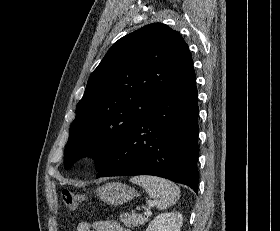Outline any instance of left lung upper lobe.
I'll use <instances>...</instances> for the list:
<instances>
[{
  "label": "left lung upper lobe",
  "mask_w": 280,
  "mask_h": 231,
  "mask_svg": "<svg viewBox=\"0 0 280 231\" xmlns=\"http://www.w3.org/2000/svg\"><path fill=\"white\" fill-rule=\"evenodd\" d=\"M194 73L181 35L162 23L119 39L90 75L76 107L64 166L94 156L100 168L116 143L172 87Z\"/></svg>",
  "instance_id": "1"
}]
</instances>
